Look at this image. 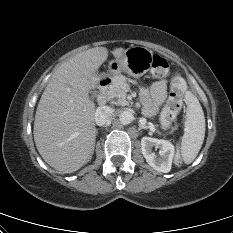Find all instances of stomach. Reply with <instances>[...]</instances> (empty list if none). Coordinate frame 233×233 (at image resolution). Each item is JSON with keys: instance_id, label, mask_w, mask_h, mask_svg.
I'll return each instance as SVG.
<instances>
[{"instance_id": "1", "label": "stomach", "mask_w": 233, "mask_h": 233, "mask_svg": "<svg viewBox=\"0 0 233 233\" xmlns=\"http://www.w3.org/2000/svg\"><path fill=\"white\" fill-rule=\"evenodd\" d=\"M152 58L151 50L141 46H132L125 50L120 58L110 62L109 75L112 79H116L124 72L131 77L139 78L150 70Z\"/></svg>"}]
</instances>
